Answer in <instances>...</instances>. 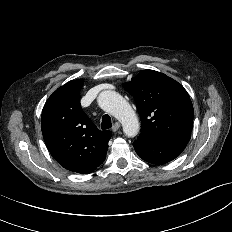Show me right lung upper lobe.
Listing matches in <instances>:
<instances>
[{
	"label": "right lung upper lobe",
	"instance_id": "obj_1",
	"mask_svg": "<svg viewBox=\"0 0 232 232\" xmlns=\"http://www.w3.org/2000/svg\"><path fill=\"white\" fill-rule=\"evenodd\" d=\"M83 79L58 88L42 110L41 129L51 155L65 169L93 172L106 158L111 131H100L80 104Z\"/></svg>",
	"mask_w": 232,
	"mask_h": 232
}]
</instances>
